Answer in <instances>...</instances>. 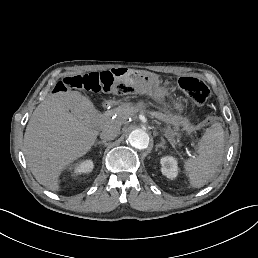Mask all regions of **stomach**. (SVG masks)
<instances>
[{
  "mask_svg": "<svg viewBox=\"0 0 258 258\" xmlns=\"http://www.w3.org/2000/svg\"><path fill=\"white\" fill-rule=\"evenodd\" d=\"M137 76L141 77V78L144 79V80L149 77L148 75L143 74V73H139V72H138Z\"/></svg>",
  "mask_w": 258,
  "mask_h": 258,
  "instance_id": "0dacf381",
  "label": "stomach"
}]
</instances>
